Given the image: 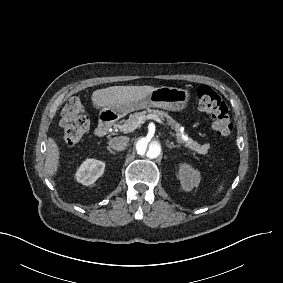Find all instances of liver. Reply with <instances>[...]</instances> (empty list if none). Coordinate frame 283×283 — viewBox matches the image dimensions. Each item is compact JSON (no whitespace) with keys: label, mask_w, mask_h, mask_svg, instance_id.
Listing matches in <instances>:
<instances>
[{"label":"liver","mask_w":283,"mask_h":283,"mask_svg":"<svg viewBox=\"0 0 283 283\" xmlns=\"http://www.w3.org/2000/svg\"><path fill=\"white\" fill-rule=\"evenodd\" d=\"M154 86H111L97 89L91 93V108L100 112H117V108L126 103L138 102L148 97ZM61 150L56 140L48 137L46 144L45 171L50 179H54L60 169Z\"/></svg>","instance_id":"liver-1"}]
</instances>
